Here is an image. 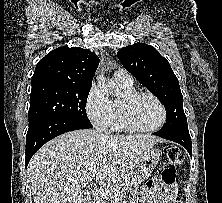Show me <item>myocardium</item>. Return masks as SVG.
Segmentation results:
<instances>
[{
  "label": "myocardium",
  "mask_w": 222,
  "mask_h": 203,
  "mask_svg": "<svg viewBox=\"0 0 222 203\" xmlns=\"http://www.w3.org/2000/svg\"><path fill=\"white\" fill-rule=\"evenodd\" d=\"M141 97H150L160 107L161 112H162V119L158 125L151 128H144V127L139 126L135 122L132 116L131 107H132V104ZM120 111H121V115L126 126L130 130L135 131V132H141V133L156 132L160 130L167 121V111L164 104L156 95L150 92H132V93L123 95V97L120 100Z\"/></svg>",
  "instance_id": "obj_1"
}]
</instances>
